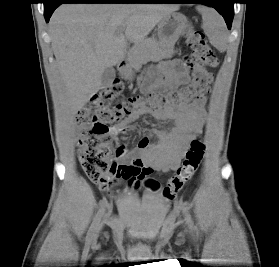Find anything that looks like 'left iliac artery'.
<instances>
[{"label": "left iliac artery", "instance_id": "left-iliac-artery-1", "mask_svg": "<svg viewBox=\"0 0 279 267\" xmlns=\"http://www.w3.org/2000/svg\"><path fill=\"white\" fill-rule=\"evenodd\" d=\"M183 213L185 215V219H186V222L187 224L189 225V227L194 231V232H197V228L196 226L194 225L193 221H192V218H191V215L188 211L187 208H184L183 209Z\"/></svg>", "mask_w": 279, "mask_h": 267}]
</instances>
